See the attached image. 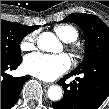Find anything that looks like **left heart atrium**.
<instances>
[{
	"instance_id": "obj_1",
	"label": "left heart atrium",
	"mask_w": 109,
	"mask_h": 109,
	"mask_svg": "<svg viewBox=\"0 0 109 109\" xmlns=\"http://www.w3.org/2000/svg\"><path fill=\"white\" fill-rule=\"evenodd\" d=\"M71 60L65 54L49 55L33 53L24 59V69L31 74L45 81H52L71 68Z\"/></svg>"
}]
</instances>
